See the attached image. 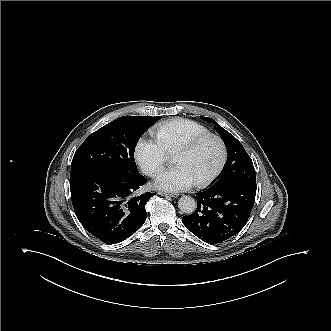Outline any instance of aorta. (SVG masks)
I'll return each instance as SVG.
<instances>
[{
	"label": "aorta",
	"instance_id": "obj_1",
	"mask_svg": "<svg viewBox=\"0 0 331 331\" xmlns=\"http://www.w3.org/2000/svg\"><path fill=\"white\" fill-rule=\"evenodd\" d=\"M178 208L182 213L191 215L197 208V203L191 196L183 195L178 200Z\"/></svg>",
	"mask_w": 331,
	"mask_h": 331
}]
</instances>
